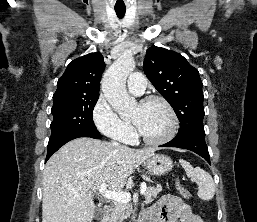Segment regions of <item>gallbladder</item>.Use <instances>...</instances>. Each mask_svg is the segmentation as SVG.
Returning <instances> with one entry per match:
<instances>
[{
  "label": "gallbladder",
  "mask_w": 257,
  "mask_h": 222,
  "mask_svg": "<svg viewBox=\"0 0 257 222\" xmlns=\"http://www.w3.org/2000/svg\"><path fill=\"white\" fill-rule=\"evenodd\" d=\"M103 216V211L100 207H96L95 209V214H94V218L95 219H101Z\"/></svg>",
  "instance_id": "1"
}]
</instances>
